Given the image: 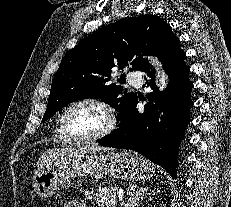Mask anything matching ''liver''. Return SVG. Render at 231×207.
I'll list each match as a JSON object with an SVG mask.
<instances>
[{"mask_svg": "<svg viewBox=\"0 0 231 207\" xmlns=\"http://www.w3.org/2000/svg\"><path fill=\"white\" fill-rule=\"evenodd\" d=\"M110 148L98 146L95 144H87L84 146L77 147H68L61 150H49L45 154H43L39 161L37 162L38 169L44 168V166L49 167L51 164L57 160L61 156H65L67 154H75V153H85V152H99V151H107Z\"/></svg>", "mask_w": 231, "mask_h": 207, "instance_id": "1", "label": "liver"}]
</instances>
